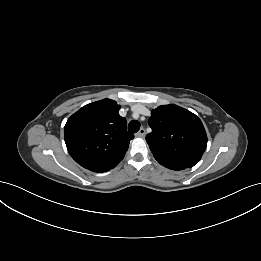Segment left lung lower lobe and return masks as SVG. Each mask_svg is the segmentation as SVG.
<instances>
[{
	"mask_svg": "<svg viewBox=\"0 0 261 261\" xmlns=\"http://www.w3.org/2000/svg\"><path fill=\"white\" fill-rule=\"evenodd\" d=\"M156 160L161 165H163L164 167L172 169V170H183V169L187 168V167L176 165V164H172V163H169V162H166V161H163V160H159V159H156Z\"/></svg>",
	"mask_w": 261,
	"mask_h": 261,
	"instance_id": "left-lung-lower-lobe-1",
	"label": "left lung lower lobe"
}]
</instances>
